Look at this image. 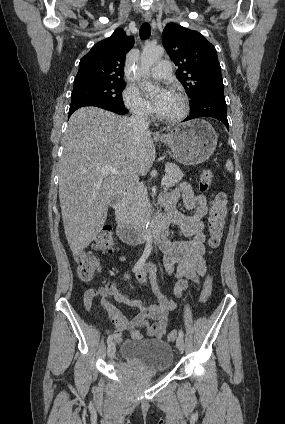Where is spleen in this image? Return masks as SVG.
<instances>
[{
  "instance_id": "3e777b00",
  "label": "spleen",
  "mask_w": 285,
  "mask_h": 424,
  "mask_svg": "<svg viewBox=\"0 0 285 424\" xmlns=\"http://www.w3.org/2000/svg\"><path fill=\"white\" fill-rule=\"evenodd\" d=\"M225 166H226L227 171L233 172V163H232V161L230 159H228L226 161V165Z\"/></svg>"
}]
</instances>
